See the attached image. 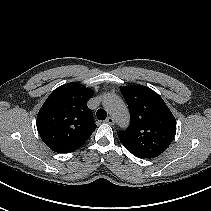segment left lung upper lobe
I'll return each instance as SVG.
<instances>
[{
  "mask_svg": "<svg viewBox=\"0 0 211 211\" xmlns=\"http://www.w3.org/2000/svg\"><path fill=\"white\" fill-rule=\"evenodd\" d=\"M131 117L129 127L118 132L121 143L138 158L163 153L176 134V120L164 100L142 85L120 87Z\"/></svg>",
  "mask_w": 211,
  "mask_h": 211,
  "instance_id": "1",
  "label": "left lung upper lobe"
}]
</instances>
